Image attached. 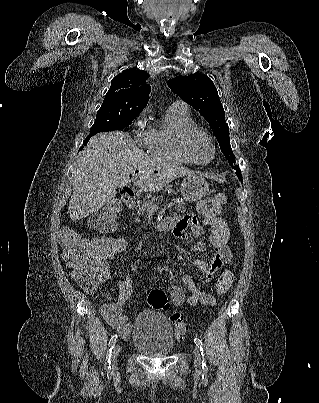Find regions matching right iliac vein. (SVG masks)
Segmentation results:
<instances>
[{"mask_svg":"<svg viewBox=\"0 0 319 403\" xmlns=\"http://www.w3.org/2000/svg\"><path fill=\"white\" fill-rule=\"evenodd\" d=\"M121 351V346L120 345H116L113 349L112 352V369L116 370L117 366H118V356H119V352Z\"/></svg>","mask_w":319,"mask_h":403,"instance_id":"obj_1","label":"right iliac vein"}]
</instances>
